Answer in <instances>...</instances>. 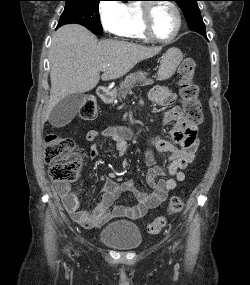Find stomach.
I'll list each match as a JSON object with an SVG mask.
<instances>
[{
  "label": "stomach",
  "instance_id": "obj_1",
  "mask_svg": "<svg viewBox=\"0 0 250 285\" xmlns=\"http://www.w3.org/2000/svg\"><path fill=\"white\" fill-rule=\"evenodd\" d=\"M183 59V54L176 47L169 48L163 55L157 72L158 80L165 81L170 79L176 72L177 67Z\"/></svg>",
  "mask_w": 250,
  "mask_h": 285
}]
</instances>
